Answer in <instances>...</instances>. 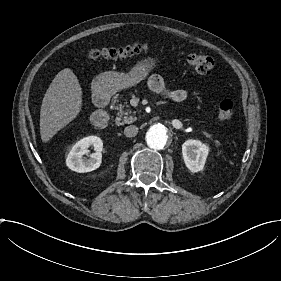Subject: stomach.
I'll return each mask as SVG.
<instances>
[{
    "label": "stomach",
    "mask_w": 281,
    "mask_h": 281,
    "mask_svg": "<svg viewBox=\"0 0 281 281\" xmlns=\"http://www.w3.org/2000/svg\"><path fill=\"white\" fill-rule=\"evenodd\" d=\"M162 62L163 60L160 57L148 56L137 61L134 66L130 67L128 73L104 72L94 80L97 92L112 95L117 91L136 87Z\"/></svg>",
    "instance_id": "obj_1"
}]
</instances>
